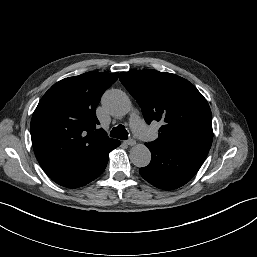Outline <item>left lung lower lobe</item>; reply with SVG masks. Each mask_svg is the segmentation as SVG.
<instances>
[{
	"mask_svg": "<svg viewBox=\"0 0 257 257\" xmlns=\"http://www.w3.org/2000/svg\"><path fill=\"white\" fill-rule=\"evenodd\" d=\"M145 145L151 151L152 159L139 172L153 186L164 190L179 188L190 181L209 151L199 147L163 148L151 143Z\"/></svg>",
	"mask_w": 257,
	"mask_h": 257,
	"instance_id": "0a47b994",
	"label": "left lung lower lobe"
}]
</instances>
